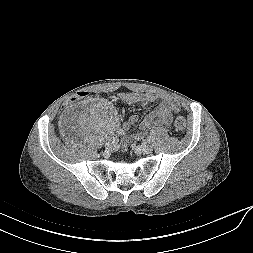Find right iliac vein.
<instances>
[{"label":"right iliac vein","mask_w":253,"mask_h":253,"mask_svg":"<svg viewBox=\"0 0 253 253\" xmlns=\"http://www.w3.org/2000/svg\"><path fill=\"white\" fill-rule=\"evenodd\" d=\"M105 147L108 151H112L115 148V142L108 141V142H106Z\"/></svg>","instance_id":"obj_1"}]
</instances>
